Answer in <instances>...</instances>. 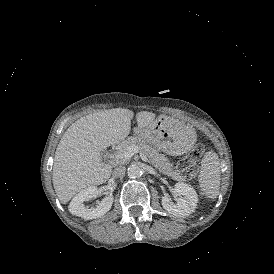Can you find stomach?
Here are the masks:
<instances>
[{
    "label": "stomach",
    "instance_id": "0dacf381",
    "mask_svg": "<svg viewBox=\"0 0 274 274\" xmlns=\"http://www.w3.org/2000/svg\"><path fill=\"white\" fill-rule=\"evenodd\" d=\"M138 135L171 156L184 154L196 142L193 128L165 115H160Z\"/></svg>",
    "mask_w": 274,
    "mask_h": 274
}]
</instances>
